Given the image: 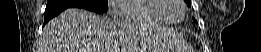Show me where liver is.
<instances>
[{
    "label": "liver",
    "instance_id": "1",
    "mask_svg": "<svg viewBox=\"0 0 261 52\" xmlns=\"http://www.w3.org/2000/svg\"><path fill=\"white\" fill-rule=\"evenodd\" d=\"M166 30L157 33L156 44L144 43L141 50L160 47ZM143 40L136 24L119 19L100 17L93 12L68 8L49 21L42 33L39 52H131L140 50L138 40ZM159 43V44H158Z\"/></svg>",
    "mask_w": 261,
    "mask_h": 52
}]
</instances>
